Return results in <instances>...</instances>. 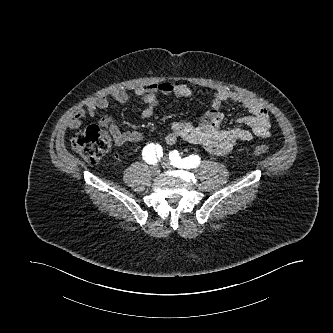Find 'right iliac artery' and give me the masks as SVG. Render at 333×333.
Listing matches in <instances>:
<instances>
[{"instance_id":"82829eb1","label":"right iliac artery","mask_w":333,"mask_h":333,"mask_svg":"<svg viewBox=\"0 0 333 333\" xmlns=\"http://www.w3.org/2000/svg\"><path fill=\"white\" fill-rule=\"evenodd\" d=\"M143 159L149 164L157 163V159L163 156V150L160 145L148 144L142 151Z\"/></svg>"}]
</instances>
